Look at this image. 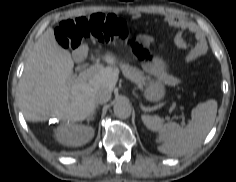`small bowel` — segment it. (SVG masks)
Wrapping results in <instances>:
<instances>
[{
	"instance_id": "small-bowel-1",
	"label": "small bowel",
	"mask_w": 236,
	"mask_h": 182,
	"mask_svg": "<svg viewBox=\"0 0 236 182\" xmlns=\"http://www.w3.org/2000/svg\"><path fill=\"white\" fill-rule=\"evenodd\" d=\"M167 23L176 29H179V33L177 35V42L179 45H183L184 41L181 36V32L187 29V23L183 21L182 19L176 17V16H170L167 18ZM141 41L143 42H150L152 38L148 35H142L140 37ZM205 51L204 44L198 43L185 57V62H192L196 60L198 57H200Z\"/></svg>"
}]
</instances>
